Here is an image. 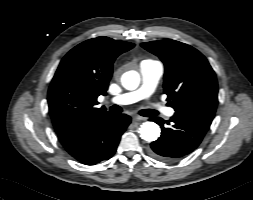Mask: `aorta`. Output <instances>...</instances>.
Returning <instances> with one entry per match:
<instances>
[{
    "mask_svg": "<svg viewBox=\"0 0 253 200\" xmlns=\"http://www.w3.org/2000/svg\"><path fill=\"white\" fill-rule=\"evenodd\" d=\"M140 76L136 71H128L122 76V85L128 90H134L138 87ZM160 127L154 122H144L140 128L139 133L143 140L152 142L160 136Z\"/></svg>",
    "mask_w": 253,
    "mask_h": 200,
    "instance_id": "aorta-1",
    "label": "aorta"
}]
</instances>
